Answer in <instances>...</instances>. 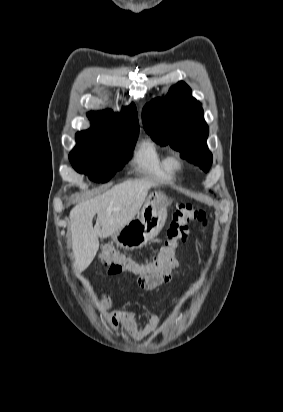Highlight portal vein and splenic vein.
<instances>
[{"instance_id":"1","label":"portal vein and splenic vein","mask_w":283,"mask_h":412,"mask_svg":"<svg viewBox=\"0 0 283 412\" xmlns=\"http://www.w3.org/2000/svg\"><path fill=\"white\" fill-rule=\"evenodd\" d=\"M112 210H113L112 208H108V209H107L108 212H111Z\"/></svg>"}]
</instances>
